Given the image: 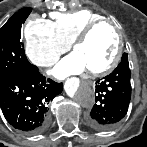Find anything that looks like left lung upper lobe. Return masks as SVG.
<instances>
[{
    "mask_svg": "<svg viewBox=\"0 0 147 147\" xmlns=\"http://www.w3.org/2000/svg\"><path fill=\"white\" fill-rule=\"evenodd\" d=\"M124 59H127V54H123V56H122V60H124Z\"/></svg>",
    "mask_w": 147,
    "mask_h": 147,
    "instance_id": "left-lung-upper-lobe-1",
    "label": "left lung upper lobe"
}]
</instances>
